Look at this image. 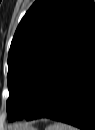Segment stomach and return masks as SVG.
Here are the masks:
<instances>
[{"label":"stomach","instance_id":"1","mask_svg":"<svg viewBox=\"0 0 95 130\" xmlns=\"http://www.w3.org/2000/svg\"><path fill=\"white\" fill-rule=\"evenodd\" d=\"M27 130H36V128L30 127Z\"/></svg>","mask_w":95,"mask_h":130}]
</instances>
